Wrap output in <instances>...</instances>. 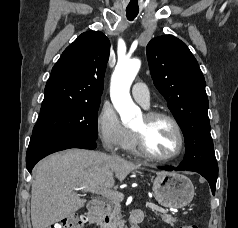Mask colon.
I'll use <instances>...</instances> for the list:
<instances>
[{
	"instance_id": "obj_1",
	"label": "colon",
	"mask_w": 238,
	"mask_h": 228,
	"mask_svg": "<svg viewBox=\"0 0 238 228\" xmlns=\"http://www.w3.org/2000/svg\"><path fill=\"white\" fill-rule=\"evenodd\" d=\"M87 217L84 214H73L60 222H57L48 228H82L86 222ZM181 228H198L195 225H184Z\"/></svg>"
}]
</instances>
